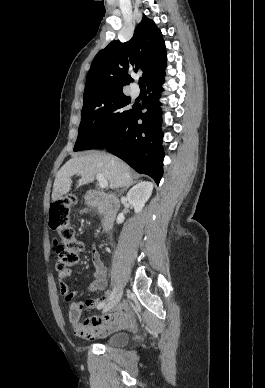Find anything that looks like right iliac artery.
Masks as SVG:
<instances>
[{
    "instance_id": "right-iliac-artery-1",
    "label": "right iliac artery",
    "mask_w": 265,
    "mask_h": 388,
    "mask_svg": "<svg viewBox=\"0 0 265 388\" xmlns=\"http://www.w3.org/2000/svg\"><path fill=\"white\" fill-rule=\"evenodd\" d=\"M115 294H116V288H114L113 289V291H112V293H111V295H110V298H109V300H111L114 296H115ZM104 305L105 304H101V305H99L98 306V309H101V308H103L104 307Z\"/></svg>"
}]
</instances>
